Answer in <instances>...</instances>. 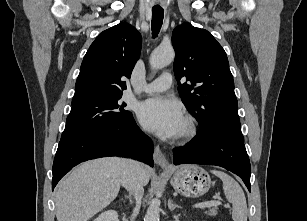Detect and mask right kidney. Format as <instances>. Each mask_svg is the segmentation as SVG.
<instances>
[{"mask_svg":"<svg viewBox=\"0 0 307 221\" xmlns=\"http://www.w3.org/2000/svg\"><path fill=\"white\" fill-rule=\"evenodd\" d=\"M94 221H119L118 214L114 210H108L101 213Z\"/></svg>","mask_w":307,"mask_h":221,"instance_id":"obj_1","label":"right kidney"}]
</instances>
